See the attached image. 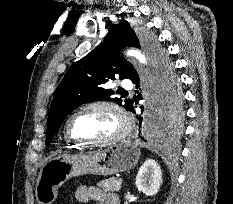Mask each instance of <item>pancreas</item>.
Masks as SVG:
<instances>
[{"mask_svg":"<svg viewBox=\"0 0 233 204\" xmlns=\"http://www.w3.org/2000/svg\"><path fill=\"white\" fill-rule=\"evenodd\" d=\"M122 180L115 177L102 180L97 183V186L102 188L105 192H119L121 190Z\"/></svg>","mask_w":233,"mask_h":204,"instance_id":"pancreas-1","label":"pancreas"}]
</instances>
